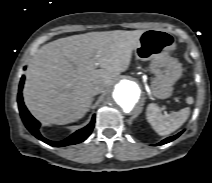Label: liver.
Segmentation results:
<instances>
[{
	"label": "liver",
	"mask_w": 212,
	"mask_h": 183,
	"mask_svg": "<svg viewBox=\"0 0 212 183\" xmlns=\"http://www.w3.org/2000/svg\"><path fill=\"white\" fill-rule=\"evenodd\" d=\"M144 31L90 32L43 45L27 70L23 97L28 110L43 123L64 125L81 119L94 87H106L129 68Z\"/></svg>",
	"instance_id": "1"
}]
</instances>
